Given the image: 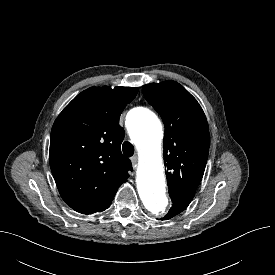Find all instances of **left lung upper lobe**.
<instances>
[{
  "label": "left lung upper lobe",
  "mask_w": 275,
  "mask_h": 275,
  "mask_svg": "<svg viewBox=\"0 0 275 275\" xmlns=\"http://www.w3.org/2000/svg\"><path fill=\"white\" fill-rule=\"evenodd\" d=\"M143 94L165 125L163 147L169 194L194 195L210 146L208 123L201 106L182 85L171 80L146 84Z\"/></svg>",
  "instance_id": "obj_1"
}]
</instances>
